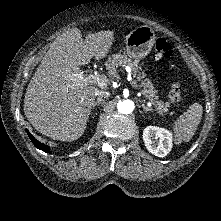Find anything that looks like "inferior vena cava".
<instances>
[{
    "label": "inferior vena cava",
    "instance_id": "obj_1",
    "mask_svg": "<svg viewBox=\"0 0 221 221\" xmlns=\"http://www.w3.org/2000/svg\"><path fill=\"white\" fill-rule=\"evenodd\" d=\"M106 94V92L101 91L99 89H95V95L99 97H103Z\"/></svg>",
    "mask_w": 221,
    "mask_h": 221
}]
</instances>
